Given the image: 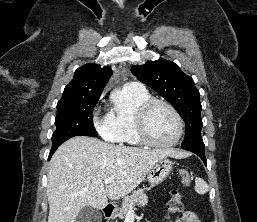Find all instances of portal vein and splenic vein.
<instances>
[{"instance_id": "1", "label": "portal vein and splenic vein", "mask_w": 257, "mask_h": 222, "mask_svg": "<svg viewBox=\"0 0 257 222\" xmlns=\"http://www.w3.org/2000/svg\"><path fill=\"white\" fill-rule=\"evenodd\" d=\"M113 179H114L113 177H108V178H106V179L104 180V182H105V184H109V183L112 182Z\"/></svg>"}]
</instances>
